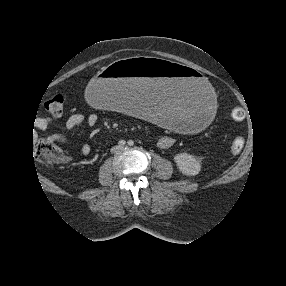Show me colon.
<instances>
[{"label": "colon", "instance_id": "colon-1", "mask_svg": "<svg viewBox=\"0 0 286 286\" xmlns=\"http://www.w3.org/2000/svg\"><path fill=\"white\" fill-rule=\"evenodd\" d=\"M65 105V98L62 95H55L45 103L46 110L52 115L62 114ZM231 119L241 122L245 119L246 113L241 107H234L230 113ZM244 147V139L236 137L232 140L230 149L233 153H240ZM36 155L43 161L57 163L63 160L61 149L51 139H40L35 145Z\"/></svg>", "mask_w": 286, "mask_h": 286}]
</instances>
